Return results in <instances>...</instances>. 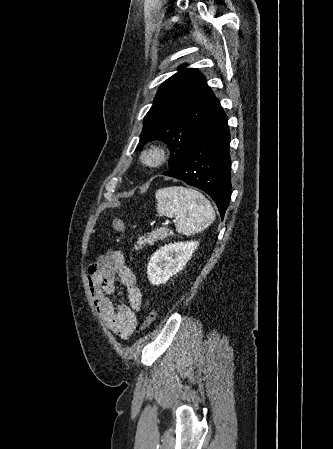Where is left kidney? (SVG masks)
Wrapping results in <instances>:
<instances>
[{"label": "left kidney", "instance_id": "obj_1", "mask_svg": "<svg viewBox=\"0 0 333 449\" xmlns=\"http://www.w3.org/2000/svg\"><path fill=\"white\" fill-rule=\"evenodd\" d=\"M198 247V242L169 243L157 250L147 266V275L153 285L165 283L170 277L179 272L191 259Z\"/></svg>", "mask_w": 333, "mask_h": 449}]
</instances>
